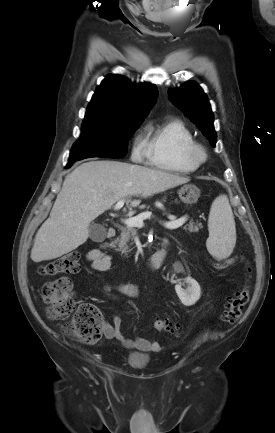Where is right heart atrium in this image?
Segmentation results:
<instances>
[{
    "label": "right heart atrium",
    "instance_id": "obj_1",
    "mask_svg": "<svg viewBox=\"0 0 275 433\" xmlns=\"http://www.w3.org/2000/svg\"><path fill=\"white\" fill-rule=\"evenodd\" d=\"M146 155V146L141 136H137L133 141L131 158L133 161H141Z\"/></svg>",
    "mask_w": 275,
    "mask_h": 433
}]
</instances>
